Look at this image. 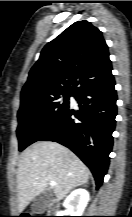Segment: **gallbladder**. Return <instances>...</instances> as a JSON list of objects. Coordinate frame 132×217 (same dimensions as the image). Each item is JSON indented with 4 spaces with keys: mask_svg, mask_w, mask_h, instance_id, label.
Segmentation results:
<instances>
[{
    "mask_svg": "<svg viewBox=\"0 0 132 217\" xmlns=\"http://www.w3.org/2000/svg\"><path fill=\"white\" fill-rule=\"evenodd\" d=\"M53 199V193L49 190H46L39 194L33 201L31 205V210L34 213L41 214L46 211L48 206L51 204Z\"/></svg>",
    "mask_w": 132,
    "mask_h": 217,
    "instance_id": "obj_1",
    "label": "gallbladder"
}]
</instances>
